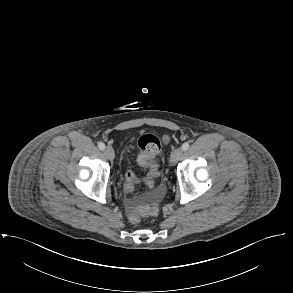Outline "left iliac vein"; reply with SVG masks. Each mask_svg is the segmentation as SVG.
Masks as SVG:
<instances>
[{
  "label": "left iliac vein",
  "mask_w": 293,
  "mask_h": 293,
  "mask_svg": "<svg viewBox=\"0 0 293 293\" xmlns=\"http://www.w3.org/2000/svg\"><path fill=\"white\" fill-rule=\"evenodd\" d=\"M183 150L181 148H176L172 151L170 155V164L174 165L182 156Z\"/></svg>",
  "instance_id": "obj_1"
}]
</instances>
